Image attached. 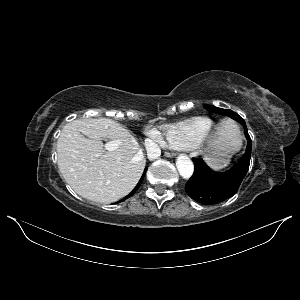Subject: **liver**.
Returning a JSON list of instances; mask_svg holds the SVG:
<instances>
[{"label": "liver", "instance_id": "obj_1", "mask_svg": "<svg viewBox=\"0 0 300 300\" xmlns=\"http://www.w3.org/2000/svg\"><path fill=\"white\" fill-rule=\"evenodd\" d=\"M101 140L117 141L105 151ZM234 137L220 127L211 146L227 147ZM58 167L73 190L91 201L109 204L128 195L138 183L145 160L137 140L107 118L77 119L64 126L57 141Z\"/></svg>", "mask_w": 300, "mask_h": 300}]
</instances>
